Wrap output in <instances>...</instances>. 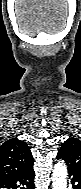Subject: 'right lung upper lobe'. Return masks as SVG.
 Listing matches in <instances>:
<instances>
[{"instance_id": "cb5924a9", "label": "right lung upper lobe", "mask_w": 81, "mask_h": 189, "mask_svg": "<svg viewBox=\"0 0 81 189\" xmlns=\"http://www.w3.org/2000/svg\"><path fill=\"white\" fill-rule=\"evenodd\" d=\"M33 162L29 146L12 138L0 146V180L25 169Z\"/></svg>"}]
</instances>
